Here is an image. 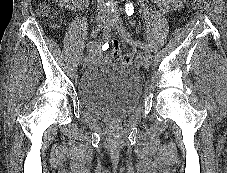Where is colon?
Returning a JSON list of instances; mask_svg holds the SVG:
<instances>
[{
    "label": "colon",
    "instance_id": "colon-1",
    "mask_svg": "<svg viewBox=\"0 0 227 173\" xmlns=\"http://www.w3.org/2000/svg\"><path fill=\"white\" fill-rule=\"evenodd\" d=\"M210 0H187V3L192 8H202L208 5ZM39 13L45 17H54L55 11L46 2L41 3L39 7ZM112 56L114 59L122 60L128 64H133L135 61L134 56L131 53H124L120 49V44L118 41L112 42Z\"/></svg>",
    "mask_w": 227,
    "mask_h": 173
}]
</instances>
